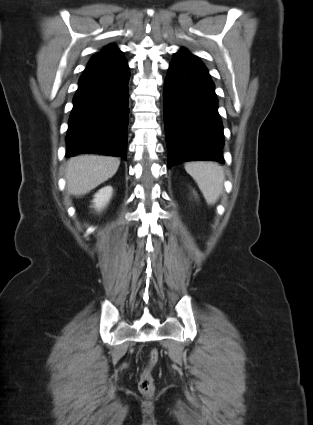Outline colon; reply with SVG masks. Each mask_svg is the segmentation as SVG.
Segmentation results:
<instances>
[{
  "label": "colon",
  "mask_w": 313,
  "mask_h": 425,
  "mask_svg": "<svg viewBox=\"0 0 313 425\" xmlns=\"http://www.w3.org/2000/svg\"><path fill=\"white\" fill-rule=\"evenodd\" d=\"M160 359V352L158 349H152L150 351L148 362L143 369L140 380L139 390L145 396H151L155 391L154 378L152 376V370Z\"/></svg>",
  "instance_id": "obj_1"
}]
</instances>
